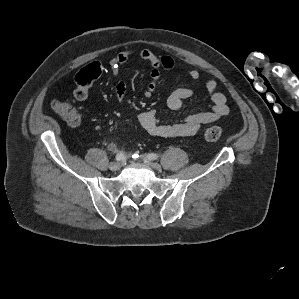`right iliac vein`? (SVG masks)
Listing matches in <instances>:
<instances>
[{
	"label": "right iliac vein",
	"mask_w": 299,
	"mask_h": 299,
	"mask_svg": "<svg viewBox=\"0 0 299 299\" xmlns=\"http://www.w3.org/2000/svg\"><path fill=\"white\" fill-rule=\"evenodd\" d=\"M120 167H121V164H120L119 162H112V163H110V165H109V168H110V170H112V171H117V170L120 169Z\"/></svg>",
	"instance_id": "right-iliac-vein-1"
}]
</instances>
